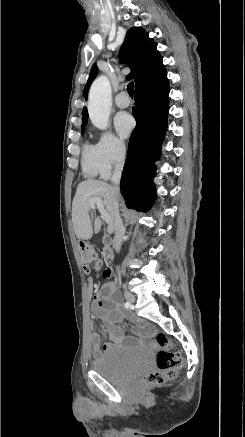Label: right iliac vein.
I'll use <instances>...</instances> for the list:
<instances>
[{"label": "right iliac vein", "mask_w": 245, "mask_h": 437, "mask_svg": "<svg viewBox=\"0 0 245 437\" xmlns=\"http://www.w3.org/2000/svg\"><path fill=\"white\" fill-rule=\"evenodd\" d=\"M124 296L129 303L135 302V296L132 293L126 291V292H124Z\"/></svg>", "instance_id": "right-iliac-vein-1"}]
</instances>
